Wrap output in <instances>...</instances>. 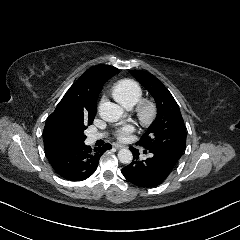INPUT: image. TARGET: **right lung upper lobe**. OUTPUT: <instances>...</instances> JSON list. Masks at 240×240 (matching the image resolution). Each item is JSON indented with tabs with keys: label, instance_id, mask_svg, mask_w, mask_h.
Returning <instances> with one entry per match:
<instances>
[{
	"label": "right lung upper lobe",
	"instance_id": "1",
	"mask_svg": "<svg viewBox=\"0 0 240 240\" xmlns=\"http://www.w3.org/2000/svg\"><path fill=\"white\" fill-rule=\"evenodd\" d=\"M118 72L117 68L109 65H96L70 87L46 121L43 132L46 153L77 148L84 143L67 137L65 126L72 120L93 121L97 111V98L104 83Z\"/></svg>",
	"mask_w": 240,
	"mask_h": 240
}]
</instances>
